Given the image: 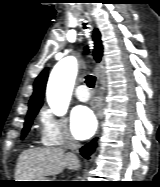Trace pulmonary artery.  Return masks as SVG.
<instances>
[{
	"instance_id": "1",
	"label": "pulmonary artery",
	"mask_w": 160,
	"mask_h": 187,
	"mask_svg": "<svg viewBox=\"0 0 160 187\" xmlns=\"http://www.w3.org/2000/svg\"><path fill=\"white\" fill-rule=\"evenodd\" d=\"M76 98L79 101L85 102L89 99V93L85 85H79L75 92Z\"/></svg>"
}]
</instances>
